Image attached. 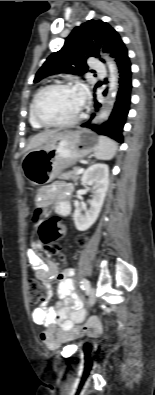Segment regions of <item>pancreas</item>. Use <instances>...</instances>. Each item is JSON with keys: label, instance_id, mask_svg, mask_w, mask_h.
<instances>
[{"label": "pancreas", "instance_id": "pancreas-1", "mask_svg": "<svg viewBox=\"0 0 155 395\" xmlns=\"http://www.w3.org/2000/svg\"><path fill=\"white\" fill-rule=\"evenodd\" d=\"M78 169V167H75L71 171L60 174L58 178L63 180L73 179L74 181H77L79 179V175L77 174Z\"/></svg>", "mask_w": 155, "mask_h": 395}]
</instances>
